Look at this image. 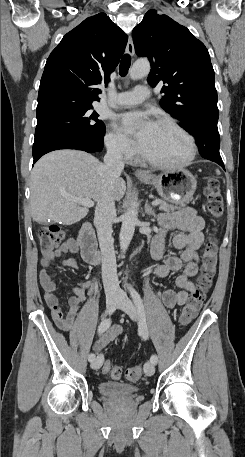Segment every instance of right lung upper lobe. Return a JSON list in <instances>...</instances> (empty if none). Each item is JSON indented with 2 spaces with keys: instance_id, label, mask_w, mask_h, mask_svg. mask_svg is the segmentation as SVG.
Here are the masks:
<instances>
[{
  "instance_id": "right-lung-upper-lobe-1",
  "label": "right lung upper lobe",
  "mask_w": 245,
  "mask_h": 457,
  "mask_svg": "<svg viewBox=\"0 0 245 457\" xmlns=\"http://www.w3.org/2000/svg\"><path fill=\"white\" fill-rule=\"evenodd\" d=\"M128 37L105 13L85 19L67 33L47 59L37 112L67 101H99L97 88L125 51Z\"/></svg>"
}]
</instances>
